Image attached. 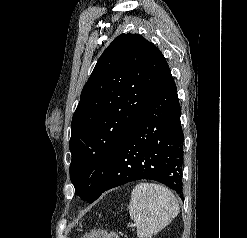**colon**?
<instances>
[{"mask_svg": "<svg viewBox=\"0 0 247 238\" xmlns=\"http://www.w3.org/2000/svg\"><path fill=\"white\" fill-rule=\"evenodd\" d=\"M82 238H119V236L113 231L96 228L86 232Z\"/></svg>", "mask_w": 247, "mask_h": 238, "instance_id": "colon-1", "label": "colon"}]
</instances>
